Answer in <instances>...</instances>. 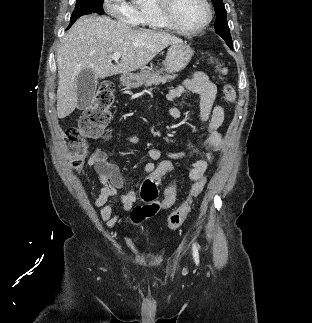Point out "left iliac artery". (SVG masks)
<instances>
[{
	"label": "left iliac artery",
	"instance_id": "1",
	"mask_svg": "<svg viewBox=\"0 0 312 323\" xmlns=\"http://www.w3.org/2000/svg\"><path fill=\"white\" fill-rule=\"evenodd\" d=\"M193 256L195 258V261L199 262V253H198V245L196 243L193 244Z\"/></svg>",
	"mask_w": 312,
	"mask_h": 323
}]
</instances>
